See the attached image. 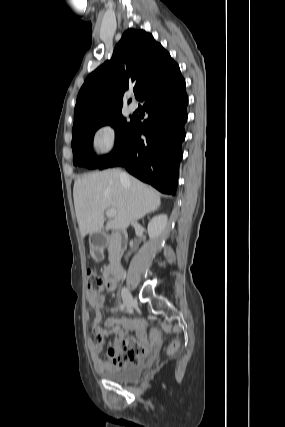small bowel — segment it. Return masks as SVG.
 Returning <instances> with one entry per match:
<instances>
[{
    "instance_id": "obj_1",
    "label": "small bowel",
    "mask_w": 285,
    "mask_h": 427,
    "mask_svg": "<svg viewBox=\"0 0 285 427\" xmlns=\"http://www.w3.org/2000/svg\"><path fill=\"white\" fill-rule=\"evenodd\" d=\"M104 284L108 291H113L116 288L117 281H108L104 275ZM87 301L93 309L92 316H90V329L93 335L97 338L115 335L117 339V345L114 348L107 350V355L110 358L109 362H103L99 357L102 349L101 345L96 341H90L89 348L91 357L98 370L121 367L130 363L120 362V351L121 346L130 339L128 338V334L131 331H135L137 333L139 344L145 349L144 353H146L149 347L144 334V321L126 316L119 319L108 317L101 325L103 319L102 310L105 309L110 313H114L117 309L104 307L105 295L103 293L89 292L87 293Z\"/></svg>"
}]
</instances>
